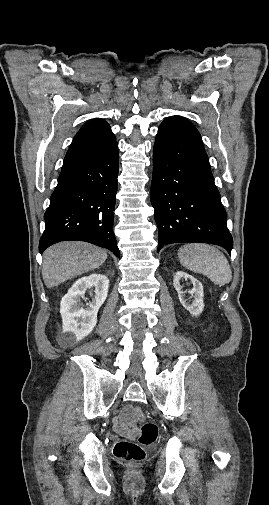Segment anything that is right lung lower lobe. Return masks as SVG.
Returning a JSON list of instances; mask_svg holds the SVG:
<instances>
[{
  "instance_id": "1",
  "label": "right lung lower lobe",
  "mask_w": 269,
  "mask_h": 505,
  "mask_svg": "<svg viewBox=\"0 0 269 505\" xmlns=\"http://www.w3.org/2000/svg\"><path fill=\"white\" fill-rule=\"evenodd\" d=\"M117 143L88 158L63 164L45 212L39 252L64 240H80L112 251L119 257L113 233L118 188Z\"/></svg>"
}]
</instances>
